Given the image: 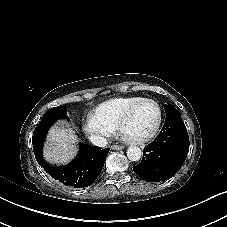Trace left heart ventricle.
<instances>
[{
	"instance_id": "left-heart-ventricle-1",
	"label": "left heart ventricle",
	"mask_w": 227,
	"mask_h": 227,
	"mask_svg": "<svg viewBox=\"0 0 227 227\" xmlns=\"http://www.w3.org/2000/svg\"><path fill=\"white\" fill-rule=\"evenodd\" d=\"M157 121V109L152 104L141 105L130 117L124 127L126 135L146 136L154 128Z\"/></svg>"
}]
</instances>
